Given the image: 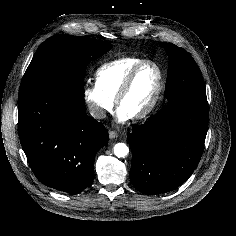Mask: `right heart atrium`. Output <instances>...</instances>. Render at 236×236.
I'll list each match as a JSON object with an SVG mask.
<instances>
[{"label": "right heart atrium", "mask_w": 236, "mask_h": 236, "mask_svg": "<svg viewBox=\"0 0 236 236\" xmlns=\"http://www.w3.org/2000/svg\"><path fill=\"white\" fill-rule=\"evenodd\" d=\"M83 97L92 117L104 119L113 109L114 100L108 97L96 82H89L83 90Z\"/></svg>", "instance_id": "1"}]
</instances>
